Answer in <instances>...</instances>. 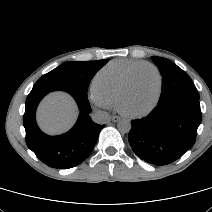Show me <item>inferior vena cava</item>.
<instances>
[{
	"label": "inferior vena cava",
	"mask_w": 212,
	"mask_h": 212,
	"mask_svg": "<svg viewBox=\"0 0 212 212\" xmlns=\"http://www.w3.org/2000/svg\"><path fill=\"white\" fill-rule=\"evenodd\" d=\"M91 117L92 120L98 124H104L110 119V115L107 112L101 110H94Z\"/></svg>",
	"instance_id": "inferior-vena-cava-1"
}]
</instances>
